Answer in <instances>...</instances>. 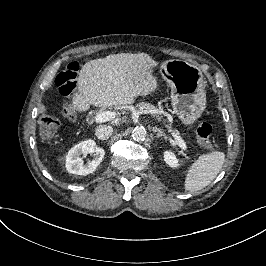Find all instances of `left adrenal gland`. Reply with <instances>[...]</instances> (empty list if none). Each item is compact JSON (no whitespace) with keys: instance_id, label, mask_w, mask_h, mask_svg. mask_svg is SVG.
<instances>
[{"instance_id":"a2214340","label":"left adrenal gland","mask_w":266,"mask_h":266,"mask_svg":"<svg viewBox=\"0 0 266 266\" xmlns=\"http://www.w3.org/2000/svg\"><path fill=\"white\" fill-rule=\"evenodd\" d=\"M154 132H157V138H163L165 142H167V138L166 135L164 133V131L161 128H157L155 127L153 129Z\"/></svg>"}]
</instances>
